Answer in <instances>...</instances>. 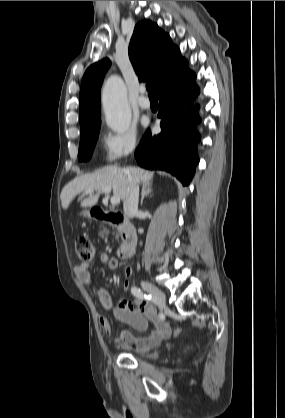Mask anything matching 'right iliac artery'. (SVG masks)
Returning <instances> with one entry per match:
<instances>
[{"instance_id": "1", "label": "right iliac artery", "mask_w": 285, "mask_h": 418, "mask_svg": "<svg viewBox=\"0 0 285 418\" xmlns=\"http://www.w3.org/2000/svg\"><path fill=\"white\" fill-rule=\"evenodd\" d=\"M131 292L134 296H136L137 298L141 300H147V301L151 300V295H147L140 288H137L136 286H133L131 288ZM160 316H163V314H160Z\"/></svg>"}]
</instances>
